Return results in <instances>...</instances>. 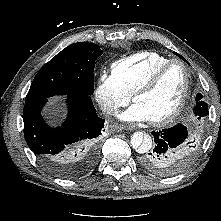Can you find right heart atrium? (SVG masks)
<instances>
[{"label": "right heart atrium", "mask_w": 221, "mask_h": 221, "mask_svg": "<svg viewBox=\"0 0 221 221\" xmlns=\"http://www.w3.org/2000/svg\"><path fill=\"white\" fill-rule=\"evenodd\" d=\"M95 97L102 111L113 115L128 104L131 95L112 73L102 71L98 76Z\"/></svg>", "instance_id": "d8ad5b80"}]
</instances>
